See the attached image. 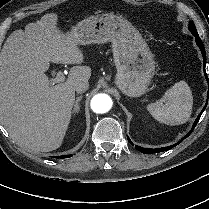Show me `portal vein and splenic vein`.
Returning <instances> with one entry per match:
<instances>
[{
    "mask_svg": "<svg viewBox=\"0 0 209 209\" xmlns=\"http://www.w3.org/2000/svg\"><path fill=\"white\" fill-rule=\"evenodd\" d=\"M65 81V76L63 75V73L61 71H59L56 74V77L52 80V85H54L55 83H61Z\"/></svg>",
    "mask_w": 209,
    "mask_h": 209,
    "instance_id": "portal-vein-and-splenic-vein-1",
    "label": "portal vein and splenic vein"
}]
</instances>
